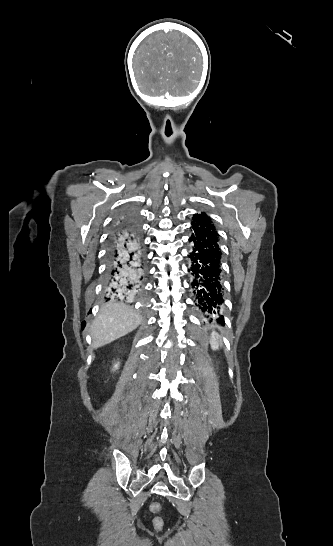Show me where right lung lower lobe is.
I'll list each match as a JSON object with an SVG mask.
<instances>
[{"mask_svg":"<svg viewBox=\"0 0 333 546\" xmlns=\"http://www.w3.org/2000/svg\"><path fill=\"white\" fill-rule=\"evenodd\" d=\"M106 293L131 298L141 289L144 251L136 227L120 225L110 235L107 251Z\"/></svg>","mask_w":333,"mask_h":546,"instance_id":"98d812e1","label":"right lung lower lobe"}]
</instances>
